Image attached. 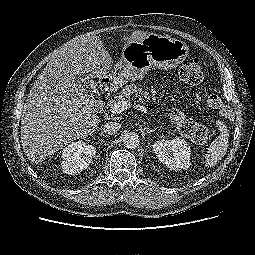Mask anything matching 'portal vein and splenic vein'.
I'll return each mask as SVG.
<instances>
[{
  "mask_svg": "<svg viewBox=\"0 0 255 255\" xmlns=\"http://www.w3.org/2000/svg\"><path fill=\"white\" fill-rule=\"evenodd\" d=\"M131 103L129 101H126V100H121V101H118V102H115L113 104L110 105V110L112 113H121L127 109H129L131 107ZM134 107L137 109V110H140L141 112H144L146 113L147 112V109L145 106L143 105H134Z\"/></svg>",
  "mask_w": 255,
  "mask_h": 255,
  "instance_id": "portal-vein-and-splenic-vein-1",
  "label": "portal vein and splenic vein"
}]
</instances>
